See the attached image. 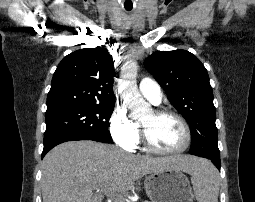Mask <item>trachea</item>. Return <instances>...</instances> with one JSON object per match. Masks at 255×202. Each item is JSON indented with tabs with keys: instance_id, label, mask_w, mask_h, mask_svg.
I'll return each mask as SVG.
<instances>
[{
	"instance_id": "1",
	"label": "trachea",
	"mask_w": 255,
	"mask_h": 202,
	"mask_svg": "<svg viewBox=\"0 0 255 202\" xmlns=\"http://www.w3.org/2000/svg\"><path fill=\"white\" fill-rule=\"evenodd\" d=\"M127 11H130L131 9H126Z\"/></svg>"
}]
</instances>
